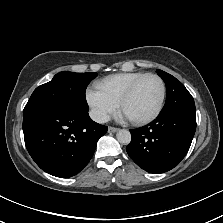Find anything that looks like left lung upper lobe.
Wrapping results in <instances>:
<instances>
[{
    "label": "left lung upper lobe",
    "mask_w": 223,
    "mask_h": 223,
    "mask_svg": "<svg viewBox=\"0 0 223 223\" xmlns=\"http://www.w3.org/2000/svg\"><path fill=\"white\" fill-rule=\"evenodd\" d=\"M158 75L164 80L167 88V98L160 114H166L174 111H195L193 97L185 86L174 76L157 70Z\"/></svg>",
    "instance_id": "left-lung-upper-lobe-1"
}]
</instances>
